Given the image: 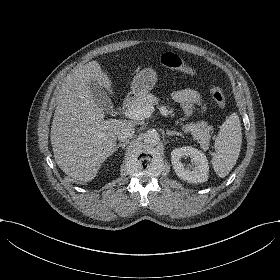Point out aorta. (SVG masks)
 <instances>
[{"instance_id": "762f6f07", "label": "aorta", "mask_w": 280, "mask_h": 280, "mask_svg": "<svg viewBox=\"0 0 280 280\" xmlns=\"http://www.w3.org/2000/svg\"><path fill=\"white\" fill-rule=\"evenodd\" d=\"M144 142L146 144L150 145H156L159 141V134L156 130H148L146 133H144Z\"/></svg>"}]
</instances>
